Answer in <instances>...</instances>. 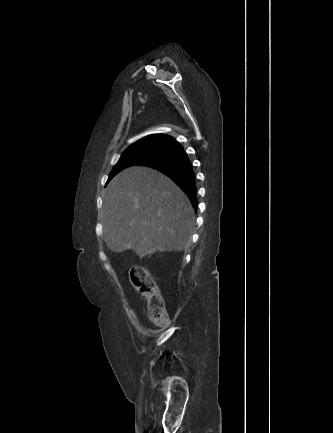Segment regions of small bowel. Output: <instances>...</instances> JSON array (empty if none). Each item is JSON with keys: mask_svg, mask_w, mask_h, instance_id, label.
Wrapping results in <instances>:
<instances>
[{"mask_svg": "<svg viewBox=\"0 0 333 433\" xmlns=\"http://www.w3.org/2000/svg\"><path fill=\"white\" fill-rule=\"evenodd\" d=\"M132 316L137 323H140V317L136 311H132Z\"/></svg>", "mask_w": 333, "mask_h": 433, "instance_id": "small-bowel-1", "label": "small bowel"}]
</instances>
